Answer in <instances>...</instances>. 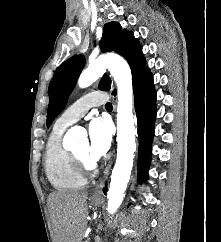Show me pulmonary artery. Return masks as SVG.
I'll return each mask as SVG.
<instances>
[{"label": "pulmonary artery", "mask_w": 221, "mask_h": 242, "mask_svg": "<svg viewBox=\"0 0 221 242\" xmlns=\"http://www.w3.org/2000/svg\"><path fill=\"white\" fill-rule=\"evenodd\" d=\"M106 99L107 95L103 92H90L85 94L61 114L55 126L64 129L71 126L81 119L91 107L101 105Z\"/></svg>", "instance_id": "e3ab8cb5"}]
</instances>
